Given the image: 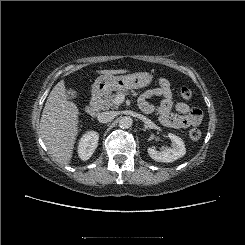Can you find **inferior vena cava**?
Listing matches in <instances>:
<instances>
[{"mask_svg": "<svg viewBox=\"0 0 245 245\" xmlns=\"http://www.w3.org/2000/svg\"><path fill=\"white\" fill-rule=\"evenodd\" d=\"M115 116V112L108 111L99 113L97 118L100 123H108L111 122L115 118Z\"/></svg>", "mask_w": 245, "mask_h": 245, "instance_id": "inferior-vena-cava-1", "label": "inferior vena cava"}]
</instances>
